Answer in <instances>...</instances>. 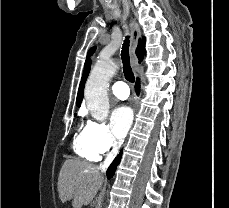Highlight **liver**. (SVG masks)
I'll list each match as a JSON object with an SVG mask.
<instances>
[{"mask_svg":"<svg viewBox=\"0 0 229 208\" xmlns=\"http://www.w3.org/2000/svg\"><path fill=\"white\" fill-rule=\"evenodd\" d=\"M103 182V174L91 162H81L79 158L66 160L58 178L59 198L63 204L73 200V208H82L92 202Z\"/></svg>","mask_w":229,"mask_h":208,"instance_id":"liver-1","label":"liver"}]
</instances>
